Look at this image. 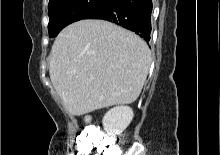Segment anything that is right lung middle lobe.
Returning <instances> with one entry per match:
<instances>
[{
  "mask_svg": "<svg viewBox=\"0 0 220 155\" xmlns=\"http://www.w3.org/2000/svg\"><path fill=\"white\" fill-rule=\"evenodd\" d=\"M116 0H52L48 5L50 37H55L67 25L85 19Z\"/></svg>",
  "mask_w": 220,
  "mask_h": 155,
  "instance_id": "right-lung-middle-lobe-1",
  "label": "right lung middle lobe"
}]
</instances>
